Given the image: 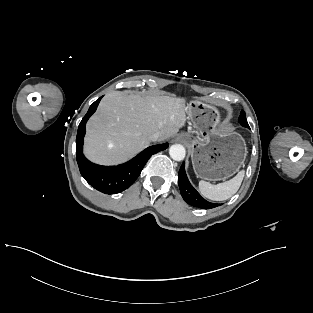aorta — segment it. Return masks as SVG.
Listing matches in <instances>:
<instances>
[{
    "label": "aorta",
    "instance_id": "762f6f07",
    "mask_svg": "<svg viewBox=\"0 0 313 313\" xmlns=\"http://www.w3.org/2000/svg\"><path fill=\"white\" fill-rule=\"evenodd\" d=\"M170 157L175 161H181L185 158L186 151L181 144H174L169 148Z\"/></svg>",
    "mask_w": 313,
    "mask_h": 313
}]
</instances>
